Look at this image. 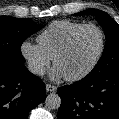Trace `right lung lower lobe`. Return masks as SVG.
<instances>
[{
	"label": "right lung lower lobe",
	"instance_id": "right-lung-lower-lobe-1",
	"mask_svg": "<svg viewBox=\"0 0 119 119\" xmlns=\"http://www.w3.org/2000/svg\"><path fill=\"white\" fill-rule=\"evenodd\" d=\"M45 98V84L24 63L0 64V119H27Z\"/></svg>",
	"mask_w": 119,
	"mask_h": 119
}]
</instances>
